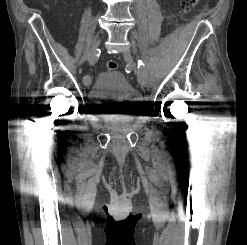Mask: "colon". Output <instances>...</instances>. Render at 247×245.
Listing matches in <instances>:
<instances>
[{
	"instance_id": "colon-1",
	"label": "colon",
	"mask_w": 247,
	"mask_h": 245,
	"mask_svg": "<svg viewBox=\"0 0 247 245\" xmlns=\"http://www.w3.org/2000/svg\"><path fill=\"white\" fill-rule=\"evenodd\" d=\"M199 0H183L181 10L183 13H188L191 11L197 4ZM106 67L108 70H116L118 67L117 62L114 60H109L106 62Z\"/></svg>"
}]
</instances>
